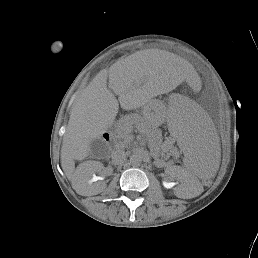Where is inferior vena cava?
<instances>
[{
  "mask_svg": "<svg viewBox=\"0 0 258 258\" xmlns=\"http://www.w3.org/2000/svg\"><path fill=\"white\" fill-rule=\"evenodd\" d=\"M126 154L124 151H119L116 155H115V161L117 163H122L125 160Z\"/></svg>",
  "mask_w": 258,
  "mask_h": 258,
  "instance_id": "602c4592",
  "label": "inferior vena cava"
}]
</instances>
